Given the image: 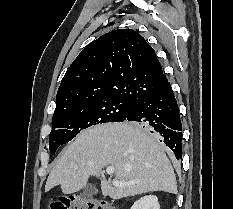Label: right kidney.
<instances>
[{
	"label": "right kidney",
	"instance_id": "ca27d5eb",
	"mask_svg": "<svg viewBox=\"0 0 233 209\" xmlns=\"http://www.w3.org/2000/svg\"><path fill=\"white\" fill-rule=\"evenodd\" d=\"M131 209H160L157 196H144L137 200Z\"/></svg>",
	"mask_w": 233,
	"mask_h": 209
}]
</instances>
